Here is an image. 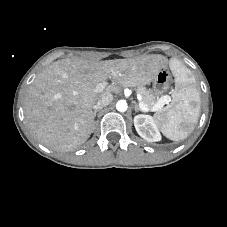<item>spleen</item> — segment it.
Segmentation results:
<instances>
[{
	"instance_id": "3e777b00",
	"label": "spleen",
	"mask_w": 227,
	"mask_h": 227,
	"mask_svg": "<svg viewBox=\"0 0 227 227\" xmlns=\"http://www.w3.org/2000/svg\"><path fill=\"white\" fill-rule=\"evenodd\" d=\"M176 87L171 105L155 115L156 123L165 137L180 141L192 132L200 113V93L191 71L180 61L171 60Z\"/></svg>"
}]
</instances>
